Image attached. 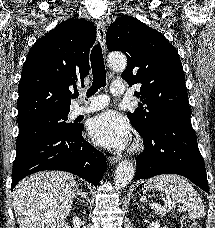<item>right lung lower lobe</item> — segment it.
Segmentation results:
<instances>
[{
	"instance_id": "right-lung-lower-lobe-1",
	"label": "right lung lower lobe",
	"mask_w": 215,
	"mask_h": 228,
	"mask_svg": "<svg viewBox=\"0 0 215 228\" xmlns=\"http://www.w3.org/2000/svg\"><path fill=\"white\" fill-rule=\"evenodd\" d=\"M83 129L80 126L74 133L47 132L17 143L11 189L24 177L42 170L67 171L98 185L106 159L84 140Z\"/></svg>"
}]
</instances>
